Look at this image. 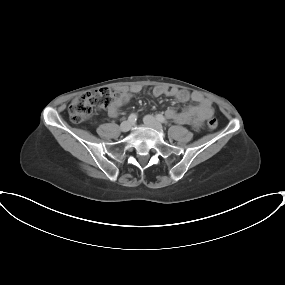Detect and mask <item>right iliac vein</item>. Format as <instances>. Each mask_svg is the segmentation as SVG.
I'll return each mask as SVG.
<instances>
[{
    "instance_id": "obj_1",
    "label": "right iliac vein",
    "mask_w": 285,
    "mask_h": 285,
    "mask_svg": "<svg viewBox=\"0 0 285 285\" xmlns=\"http://www.w3.org/2000/svg\"><path fill=\"white\" fill-rule=\"evenodd\" d=\"M131 126H132V123L130 121H124L120 125V130L122 132H128L130 130Z\"/></svg>"
}]
</instances>
